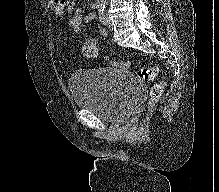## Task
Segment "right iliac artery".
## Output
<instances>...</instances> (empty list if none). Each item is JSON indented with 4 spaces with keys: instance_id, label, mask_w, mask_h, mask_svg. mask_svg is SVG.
Instances as JSON below:
<instances>
[{
    "instance_id": "right-iliac-artery-1",
    "label": "right iliac artery",
    "mask_w": 219,
    "mask_h": 192,
    "mask_svg": "<svg viewBox=\"0 0 219 192\" xmlns=\"http://www.w3.org/2000/svg\"><path fill=\"white\" fill-rule=\"evenodd\" d=\"M97 8H98L99 11L103 10L105 8V5L104 4H98Z\"/></svg>"
}]
</instances>
